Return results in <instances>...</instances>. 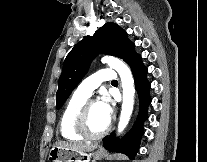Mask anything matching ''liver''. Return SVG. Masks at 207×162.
I'll return each mask as SVG.
<instances>
[{
    "mask_svg": "<svg viewBox=\"0 0 207 162\" xmlns=\"http://www.w3.org/2000/svg\"><path fill=\"white\" fill-rule=\"evenodd\" d=\"M55 147L68 149L75 152H90L97 148V144L91 143H61Z\"/></svg>",
    "mask_w": 207,
    "mask_h": 162,
    "instance_id": "6515ba94",
    "label": "liver"
}]
</instances>
